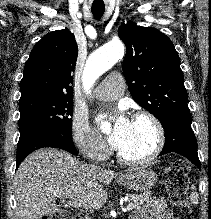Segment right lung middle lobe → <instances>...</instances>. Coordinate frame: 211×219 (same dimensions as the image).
Listing matches in <instances>:
<instances>
[{
  "label": "right lung middle lobe",
  "mask_w": 211,
  "mask_h": 219,
  "mask_svg": "<svg viewBox=\"0 0 211 219\" xmlns=\"http://www.w3.org/2000/svg\"><path fill=\"white\" fill-rule=\"evenodd\" d=\"M20 138L40 131L72 137L73 99L35 97L19 101Z\"/></svg>",
  "instance_id": "right-lung-middle-lobe-1"
}]
</instances>
